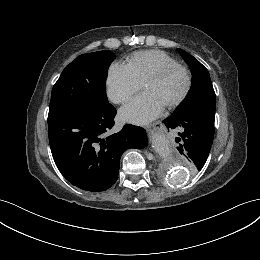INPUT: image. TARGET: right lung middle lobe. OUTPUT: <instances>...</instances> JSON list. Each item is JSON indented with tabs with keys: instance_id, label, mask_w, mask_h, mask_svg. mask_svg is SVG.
Listing matches in <instances>:
<instances>
[{
	"instance_id": "obj_1",
	"label": "right lung middle lobe",
	"mask_w": 260,
	"mask_h": 260,
	"mask_svg": "<svg viewBox=\"0 0 260 260\" xmlns=\"http://www.w3.org/2000/svg\"><path fill=\"white\" fill-rule=\"evenodd\" d=\"M115 55L109 50L80 55L65 67L52 89L49 117L94 114L110 107L105 82Z\"/></svg>"
}]
</instances>
